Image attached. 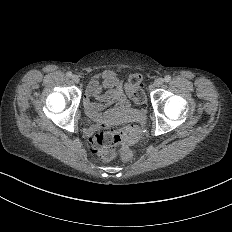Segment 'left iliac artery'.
<instances>
[{
	"label": "left iliac artery",
	"instance_id": "left-iliac-artery-1",
	"mask_svg": "<svg viewBox=\"0 0 232 232\" xmlns=\"http://www.w3.org/2000/svg\"><path fill=\"white\" fill-rule=\"evenodd\" d=\"M164 81H165V82H170V81H171V76H170V75H166V76L164 77Z\"/></svg>",
	"mask_w": 232,
	"mask_h": 232
}]
</instances>
